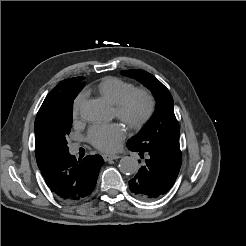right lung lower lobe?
<instances>
[{"label": "right lung lower lobe", "instance_id": "1", "mask_svg": "<svg viewBox=\"0 0 246 246\" xmlns=\"http://www.w3.org/2000/svg\"><path fill=\"white\" fill-rule=\"evenodd\" d=\"M103 164L100 155L76 160L75 156L67 153L56 158L41 174L59 199L73 203L83 200L94 190Z\"/></svg>", "mask_w": 246, "mask_h": 246}]
</instances>
